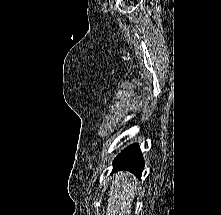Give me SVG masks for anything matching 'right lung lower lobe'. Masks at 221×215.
<instances>
[{
    "instance_id": "98d812e1",
    "label": "right lung lower lobe",
    "mask_w": 221,
    "mask_h": 215,
    "mask_svg": "<svg viewBox=\"0 0 221 215\" xmlns=\"http://www.w3.org/2000/svg\"><path fill=\"white\" fill-rule=\"evenodd\" d=\"M143 159L138 144H132L124 149L114 160L113 170L126 169L137 177H141L143 170Z\"/></svg>"
}]
</instances>
